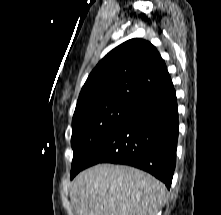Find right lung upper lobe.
<instances>
[{
    "mask_svg": "<svg viewBox=\"0 0 221 215\" xmlns=\"http://www.w3.org/2000/svg\"><path fill=\"white\" fill-rule=\"evenodd\" d=\"M171 83L157 49L146 40L134 38L114 48L97 64L82 87L77 106L108 100L136 104Z\"/></svg>",
    "mask_w": 221,
    "mask_h": 215,
    "instance_id": "obj_1",
    "label": "right lung upper lobe"
}]
</instances>
